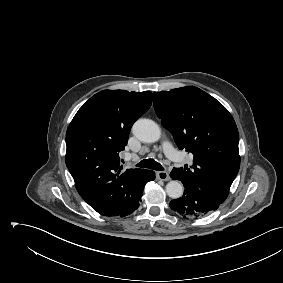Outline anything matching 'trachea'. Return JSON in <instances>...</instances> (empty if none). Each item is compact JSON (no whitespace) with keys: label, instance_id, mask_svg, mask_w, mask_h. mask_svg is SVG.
Listing matches in <instances>:
<instances>
[{"label":"trachea","instance_id":"1","mask_svg":"<svg viewBox=\"0 0 283 283\" xmlns=\"http://www.w3.org/2000/svg\"><path fill=\"white\" fill-rule=\"evenodd\" d=\"M136 166L141 167V168H149V169H153V170H157V171L164 170L162 165L160 163L156 162L154 159H144V160L140 161Z\"/></svg>","mask_w":283,"mask_h":283}]
</instances>
